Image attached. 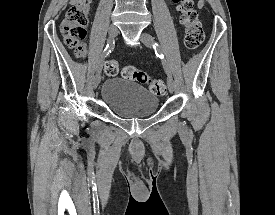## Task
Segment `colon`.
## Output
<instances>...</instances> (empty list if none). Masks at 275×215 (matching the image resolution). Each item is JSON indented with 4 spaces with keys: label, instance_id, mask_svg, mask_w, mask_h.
<instances>
[{
    "label": "colon",
    "instance_id": "5ec220e1",
    "mask_svg": "<svg viewBox=\"0 0 275 215\" xmlns=\"http://www.w3.org/2000/svg\"><path fill=\"white\" fill-rule=\"evenodd\" d=\"M176 2L178 3L181 23L185 26V47L191 54H194L204 40L202 23L194 9L193 0H176ZM90 3L91 0H76L67 10L66 17L61 25L65 44L77 57H83L86 51L87 11ZM103 66L107 76H115L118 73V63L113 59L104 61ZM122 74L126 79L147 85L148 89L157 94V96H162L166 93L167 88L163 80L151 78L147 72L133 65L124 66Z\"/></svg>",
    "mask_w": 275,
    "mask_h": 215
}]
</instances>
